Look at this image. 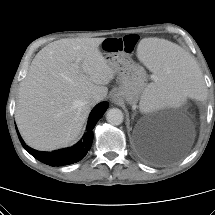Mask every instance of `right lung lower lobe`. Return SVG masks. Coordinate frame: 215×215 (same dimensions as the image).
Returning <instances> with one entry per match:
<instances>
[{"label":"right lung lower lobe","mask_w":215,"mask_h":215,"mask_svg":"<svg viewBox=\"0 0 215 215\" xmlns=\"http://www.w3.org/2000/svg\"><path fill=\"white\" fill-rule=\"evenodd\" d=\"M108 108L107 102L99 103L91 112L89 116L87 131L83 136L82 140H80L76 145L70 148L61 149L53 152H41L36 151L30 147H28L22 138L20 137L18 131V137L24 147V149L30 153L33 157L38 159L40 162L50 165V166H62L69 165L74 162H78L85 157L88 150L91 148L93 141V128L98 122V120L102 117L106 109ZM17 130V128H16Z\"/></svg>","instance_id":"right-lung-lower-lobe-1"}]
</instances>
